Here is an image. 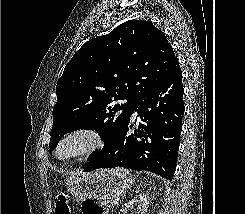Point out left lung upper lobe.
I'll use <instances>...</instances> for the list:
<instances>
[{"instance_id":"5c2ea615","label":"left lung upper lobe","mask_w":245,"mask_h":214,"mask_svg":"<svg viewBox=\"0 0 245 214\" xmlns=\"http://www.w3.org/2000/svg\"><path fill=\"white\" fill-rule=\"evenodd\" d=\"M178 64L165 33L146 20H128L86 42L57 82L49 152L78 129L96 130L103 149L111 145L141 98Z\"/></svg>"}]
</instances>
